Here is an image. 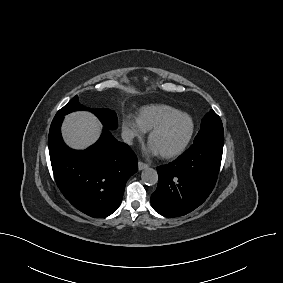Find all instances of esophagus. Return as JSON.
<instances>
[{
    "label": "esophagus",
    "instance_id": "obj_1",
    "mask_svg": "<svg viewBox=\"0 0 283 283\" xmlns=\"http://www.w3.org/2000/svg\"><path fill=\"white\" fill-rule=\"evenodd\" d=\"M138 168H139V170L146 169V168H148V164H146V163H144L142 161H139L138 162Z\"/></svg>",
    "mask_w": 283,
    "mask_h": 283
}]
</instances>
